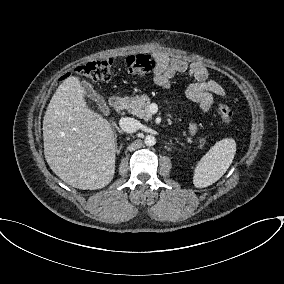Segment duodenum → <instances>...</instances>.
<instances>
[{
  "label": "duodenum",
  "mask_w": 284,
  "mask_h": 284,
  "mask_svg": "<svg viewBox=\"0 0 284 284\" xmlns=\"http://www.w3.org/2000/svg\"><path fill=\"white\" fill-rule=\"evenodd\" d=\"M109 104H110V107L114 111L118 112V111L122 110V108L124 106V101H123L121 96L113 95L109 100Z\"/></svg>",
  "instance_id": "410a0bca"
}]
</instances>
